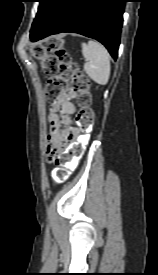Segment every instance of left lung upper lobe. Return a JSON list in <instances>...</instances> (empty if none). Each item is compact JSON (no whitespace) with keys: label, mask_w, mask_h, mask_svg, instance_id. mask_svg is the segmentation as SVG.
<instances>
[{"label":"left lung upper lobe","mask_w":158,"mask_h":275,"mask_svg":"<svg viewBox=\"0 0 158 275\" xmlns=\"http://www.w3.org/2000/svg\"><path fill=\"white\" fill-rule=\"evenodd\" d=\"M55 2L56 0H39L40 4L38 8V13L32 24L30 34L33 33L35 30H37L44 23L48 12L50 11L51 7Z\"/></svg>","instance_id":"5c2ea615"}]
</instances>
